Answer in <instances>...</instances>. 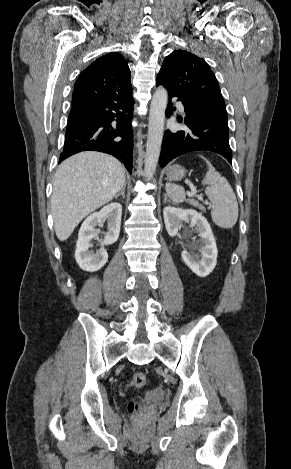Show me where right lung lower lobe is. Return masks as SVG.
I'll list each match as a JSON object with an SVG mask.
<instances>
[{
  "label": "right lung lower lobe",
  "mask_w": 291,
  "mask_h": 469,
  "mask_svg": "<svg viewBox=\"0 0 291 469\" xmlns=\"http://www.w3.org/2000/svg\"><path fill=\"white\" fill-rule=\"evenodd\" d=\"M133 106L132 95L116 92L73 104L59 163L81 151H100L118 158L131 172Z\"/></svg>",
  "instance_id": "1"
}]
</instances>
